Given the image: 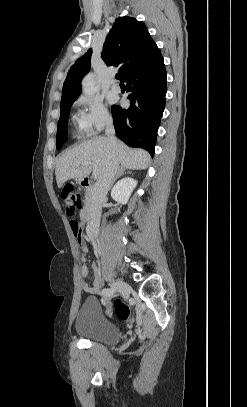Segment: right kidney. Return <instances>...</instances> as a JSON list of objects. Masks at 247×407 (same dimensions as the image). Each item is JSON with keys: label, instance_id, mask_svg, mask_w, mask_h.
<instances>
[{"label": "right kidney", "instance_id": "ca27d5eb", "mask_svg": "<svg viewBox=\"0 0 247 407\" xmlns=\"http://www.w3.org/2000/svg\"><path fill=\"white\" fill-rule=\"evenodd\" d=\"M136 185L137 181L133 178H124L113 187L111 197L119 204H127L128 199Z\"/></svg>", "mask_w": 247, "mask_h": 407}]
</instances>
